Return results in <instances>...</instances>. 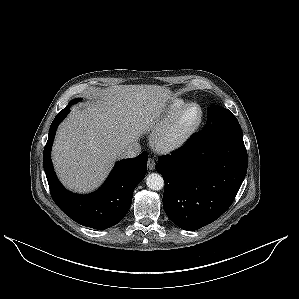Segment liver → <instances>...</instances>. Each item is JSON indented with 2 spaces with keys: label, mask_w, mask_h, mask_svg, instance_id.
Listing matches in <instances>:
<instances>
[{
  "label": "liver",
  "mask_w": 299,
  "mask_h": 299,
  "mask_svg": "<svg viewBox=\"0 0 299 299\" xmlns=\"http://www.w3.org/2000/svg\"><path fill=\"white\" fill-rule=\"evenodd\" d=\"M73 109L57 130L52 159L62 183L75 192L97 188L121 150L160 116L171 91L158 85H119Z\"/></svg>",
  "instance_id": "obj_1"
}]
</instances>
